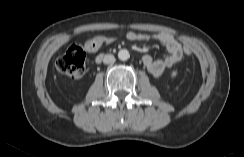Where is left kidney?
Returning <instances> with one entry per match:
<instances>
[{
    "label": "left kidney",
    "instance_id": "5707ae66",
    "mask_svg": "<svg viewBox=\"0 0 244 157\" xmlns=\"http://www.w3.org/2000/svg\"><path fill=\"white\" fill-rule=\"evenodd\" d=\"M177 75V72L173 71L172 72V77H175Z\"/></svg>",
    "mask_w": 244,
    "mask_h": 157
}]
</instances>
